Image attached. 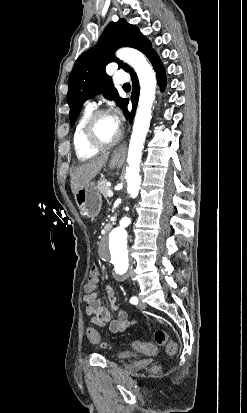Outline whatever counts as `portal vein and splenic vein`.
Returning a JSON list of instances; mask_svg holds the SVG:
<instances>
[{"label": "portal vein and splenic vein", "mask_w": 247, "mask_h": 413, "mask_svg": "<svg viewBox=\"0 0 247 413\" xmlns=\"http://www.w3.org/2000/svg\"><path fill=\"white\" fill-rule=\"evenodd\" d=\"M107 196H113V190H110V188L107 190Z\"/></svg>", "instance_id": "18ae733b"}]
</instances>
